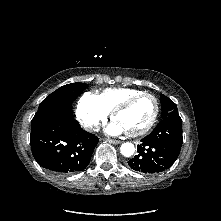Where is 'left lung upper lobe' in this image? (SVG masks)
I'll list each match as a JSON object with an SVG mask.
<instances>
[{
  "label": "left lung upper lobe",
  "instance_id": "obj_1",
  "mask_svg": "<svg viewBox=\"0 0 221 221\" xmlns=\"http://www.w3.org/2000/svg\"><path fill=\"white\" fill-rule=\"evenodd\" d=\"M162 119L169 116H179L177 105L165 95L161 94Z\"/></svg>",
  "mask_w": 221,
  "mask_h": 221
}]
</instances>
